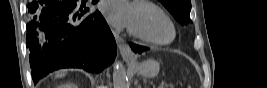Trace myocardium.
Wrapping results in <instances>:
<instances>
[{"mask_svg":"<svg viewBox=\"0 0 267 88\" xmlns=\"http://www.w3.org/2000/svg\"><path fill=\"white\" fill-rule=\"evenodd\" d=\"M133 6H144V7L150 8V9L156 11V12H157L158 14H160L162 17H164V18L168 21V23L170 24V26H171V29H172V36H171L169 39H167V40L156 41V40L149 39V38H147V37H145V36H143V35L137 33L136 31H134L133 29H131V28L129 27V28H128V33H129L131 36H133V37H135V38H137V39H139V40H141V41H143V42H145V43H147V44H150V45H156V46H164V45H168V44L172 43V42L176 39L177 31H176L175 24H174V22L172 21V19H171V18H170V17H169V16H168L162 9H160L158 6L154 5V4L151 3V2H148V1H142V0H140V1H135Z\"/></svg>","mask_w":267,"mask_h":88,"instance_id":"f54148a6","label":"myocardium"}]
</instances>
